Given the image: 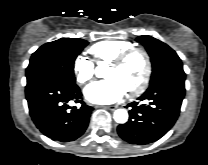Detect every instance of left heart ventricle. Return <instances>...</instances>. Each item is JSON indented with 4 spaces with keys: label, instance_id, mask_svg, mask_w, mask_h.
<instances>
[{
    "label": "left heart ventricle",
    "instance_id": "1",
    "mask_svg": "<svg viewBox=\"0 0 208 165\" xmlns=\"http://www.w3.org/2000/svg\"><path fill=\"white\" fill-rule=\"evenodd\" d=\"M145 61L141 54L129 57L120 67L109 66L106 71L107 78L117 79L126 92L137 86L144 76Z\"/></svg>",
    "mask_w": 208,
    "mask_h": 165
}]
</instances>
